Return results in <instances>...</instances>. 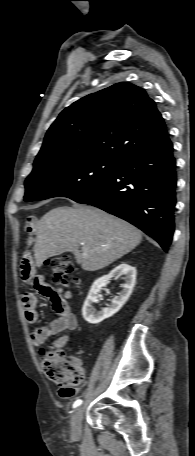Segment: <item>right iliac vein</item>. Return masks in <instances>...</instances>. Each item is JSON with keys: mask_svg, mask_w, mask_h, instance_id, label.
<instances>
[{"mask_svg": "<svg viewBox=\"0 0 195 456\" xmlns=\"http://www.w3.org/2000/svg\"><path fill=\"white\" fill-rule=\"evenodd\" d=\"M81 421L82 409L78 408L75 410L71 418V434L74 439H78L81 436Z\"/></svg>", "mask_w": 195, "mask_h": 456, "instance_id": "right-iliac-vein-1", "label": "right iliac vein"}]
</instances>
